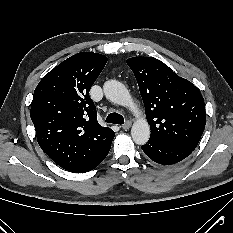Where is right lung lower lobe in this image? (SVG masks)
<instances>
[{"label":"right lung lower lobe","instance_id":"98d812e1","mask_svg":"<svg viewBox=\"0 0 233 233\" xmlns=\"http://www.w3.org/2000/svg\"><path fill=\"white\" fill-rule=\"evenodd\" d=\"M110 148H111V146L106 151H104L100 156H98L96 159H94L92 162H90V163H88V164H86L78 169H75L71 172L85 173V172H88V171L94 169L96 166H98L104 160V158L107 156Z\"/></svg>","mask_w":233,"mask_h":233}]
</instances>
